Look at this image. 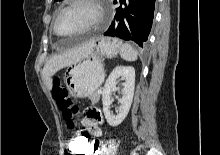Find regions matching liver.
Returning a JSON list of instances; mask_svg holds the SVG:
<instances>
[{"mask_svg":"<svg viewBox=\"0 0 220 155\" xmlns=\"http://www.w3.org/2000/svg\"><path fill=\"white\" fill-rule=\"evenodd\" d=\"M93 45L73 48L51 57L45 64L42 77L49 90L53 87L52 76L61 68L75 64L84 59L92 50Z\"/></svg>","mask_w":220,"mask_h":155,"instance_id":"6515ba94","label":"liver"}]
</instances>
